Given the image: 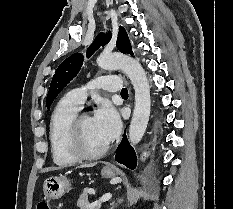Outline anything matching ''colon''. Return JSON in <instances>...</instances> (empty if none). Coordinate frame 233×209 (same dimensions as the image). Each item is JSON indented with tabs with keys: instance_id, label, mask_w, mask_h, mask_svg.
Masks as SVG:
<instances>
[{
	"instance_id": "1",
	"label": "colon",
	"mask_w": 233,
	"mask_h": 209,
	"mask_svg": "<svg viewBox=\"0 0 233 209\" xmlns=\"http://www.w3.org/2000/svg\"><path fill=\"white\" fill-rule=\"evenodd\" d=\"M37 209H51L46 201H41L37 204Z\"/></svg>"
}]
</instances>
